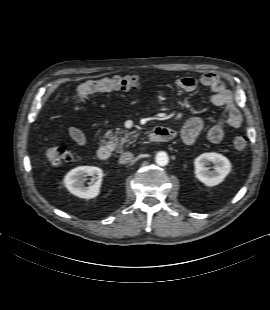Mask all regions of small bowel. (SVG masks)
Here are the masks:
<instances>
[{
	"label": "small bowel",
	"mask_w": 270,
	"mask_h": 310,
	"mask_svg": "<svg viewBox=\"0 0 270 310\" xmlns=\"http://www.w3.org/2000/svg\"><path fill=\"white\" fill-rule=\"evenodd\" d=\"M177 88L185 92H194L199 85L210 89V102L218 107H223L224 112L220 120L212 125L207 132V139L211 143H219L225 135V127L237 129L242 125V115L236 107L232 92L226 87L219 76L213 72L203 74L199 79L194 77H181L175 81ZM204 123L200 118H191L186 121L181 129L183 141L191 145L202 133ZM68 136L78 145L86 146L89 141L85 133L74 126L67 129Z\"/></svg>",
	"instance_id": "c3829d8e"
}]
</instances>
